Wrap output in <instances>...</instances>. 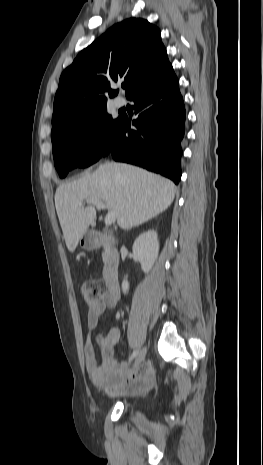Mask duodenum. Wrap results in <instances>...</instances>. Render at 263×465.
Returning a JSON list of instances; mask_svg holds the SVG:
<instances>
[{
    "mask_svg": "<svg viewBox=\"0 0 263 465\" xmlns=\"http://www.w3.org/2000/svg\"><path fill=\"white\" fill-rule=\"evenodd\" d=\"M114 237L107 234L92 236L87 241L90 248L104 246L108 249V259L105 266V280L112 295H119V256L114 248Z\"/></svg>",
    "mask_w": 263,
    "mask_h": 465,
    "instance_id": "obj_1",
    "label": "duodenum"
}]
</instances>
